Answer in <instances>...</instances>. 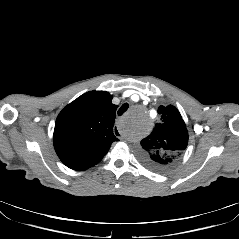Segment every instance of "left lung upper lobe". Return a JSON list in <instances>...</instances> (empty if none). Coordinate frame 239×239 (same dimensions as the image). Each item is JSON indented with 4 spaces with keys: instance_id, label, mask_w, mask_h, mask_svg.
<instances>
[{
    "instance_id": "obj_1",
    "label": "left lung upper lobe",
    "mask_w": 239,
    "mask_h": 239,
    "mask_svg": "<svg viewBox=\"0 0 239 239\" xmlns=\"http://www.w3.org/2000/svg\"><path fill=\"white\" fill-rule=\"evenodd\" d=\"M161 117L152 133L141 141V160L155 171H166L180 159L188 144V131L178 109L160 106Z\"/></svg>"
}]
</instances>
